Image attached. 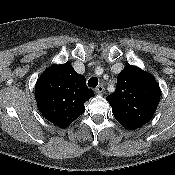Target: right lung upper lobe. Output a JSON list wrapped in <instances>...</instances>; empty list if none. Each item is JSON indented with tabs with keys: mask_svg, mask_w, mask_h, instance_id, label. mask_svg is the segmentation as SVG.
I'll list each match as a JSON object with an SVG mask.
<instances>
[{
	"mask_svg": "<svg viewBox=\"0 0 175 175\" xmlns=\"http://www.w3.org/2000/svg\"><path fill=\"white\" fill-rule=\"evenodd\" d=\"M94 96L83 75L68 64L52 65L37 80L35 99L42 115L66 128L85 112L84 103Z\"/></svg>",
	"mask_w": 175,
	"mask_h": 175,
	"instance_id": "obj_1",
	"label": "right lung upper lobe"
}]
</instances>
